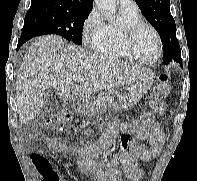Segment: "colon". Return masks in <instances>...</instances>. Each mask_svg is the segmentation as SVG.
Here are the masks:
<instances>
[{
    "instance_id": "colon-1",
    "label": "colon",
    "mask_w": 197,
    "mask_h": 181,
    "mask_svg": "<svg viewBox=\"0 0 197 181\" xmlns=\"http://www.w3.org/2000/svg\"><path fill=\"white\" fill-rule=\"evenodd\" d=\"M170 91L168 77L165 75L160 76L155 84L154 93L151 99V107L153 113H145L139 119L140 130L137 136H141L149 127L152 126L154 117L161 116L166 111V97ZM70 121V115L67 113L60 114L50 120L49 126L57 129H64ZM134 139V138H133ZM135 141V140H134ZM123 149H127L126 143H122Z\"/></svg>"
}]
</instances>
